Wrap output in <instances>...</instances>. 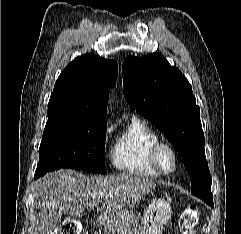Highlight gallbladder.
Here are the masks:
<instances>
[{
    "label": "gallbladder",
    "mask_w": 241,
    "mask_h": 234,
    "mask_svg": "<svg viewBox=\"0 0 241 234\" xmlns=\"http://www.w3.org/2000/svg\"><path fill=\"white\" fill-rule=\"evenodd\" d=\"M82 213V211H77L76 213H74V216H80Z\"/></svg>",
    "instance_id": "bac80fb5"
}]
</instances>
